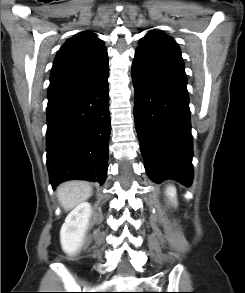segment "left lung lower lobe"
<instances>
[{
	"instance_id": "left-lung-lower-lobe-1",
	"label": "left lung lower lobe",
	"mask_w": 245,
	"mask_h": 293,
	"mask_svg": "<svg viewBox=\"0 0 245 293\" xmlns=\"http://www.w3.org/2000/svg\"><path fill=\"white\" fill-rule=\"evenodd\" d=\"M134 118L150 179L192 183V135L184 68L136 51Z\"/></svg>"
}]
</instances>
